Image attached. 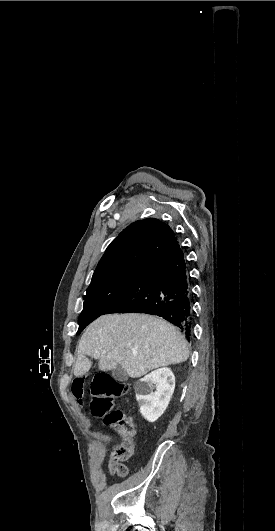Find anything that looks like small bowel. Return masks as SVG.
Wrapping results in <instances>:
<instances>
[{"label":"small bowel","mask_w":275,"mask_h":531,"mask_svg":"<svg viewBox=\"0 0 275 531\" xmlns=\"http://www.w3.org/2000/svg\"><path fill=\"white\" fill-rule=\"evenodd\" d=\"M120 445H123V444L121 443ZM132 453H133V447H131V454H132ZM119 476H121V477H125V476H127V475H119Z\"/></svg>","instance_id":"small-bowel-1"}]
</instances>
